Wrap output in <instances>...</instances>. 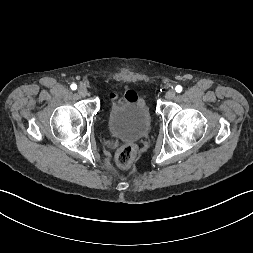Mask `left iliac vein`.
<instances>
[{
	"label": "left iliac vein",
	"instance_id": "4c4485c4",
	"mask_svg": "<svg viewBox=\"0 0 253 253\" xmlns=\"http://www.w3.org/2000/svg\"><path fill=\"white\" fill-rule=\"evenodd\" d=\"M176 95V92L173 89H170L166 92L165 97L168 100H172Z\"/></svg>",
	"mask_w": 253,
	"mask_h": 253
}]
</instances>
